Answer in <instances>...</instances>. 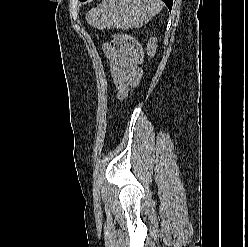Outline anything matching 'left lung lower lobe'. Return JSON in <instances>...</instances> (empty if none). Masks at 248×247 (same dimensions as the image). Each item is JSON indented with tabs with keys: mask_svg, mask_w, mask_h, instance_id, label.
<instances>
[{
	"mask_svg": "<svg viewBox=\"0 0 248 247\" xmlns=\"http://www.w3.org/2000/svg\"><path fill=\"white\" fill-rule=\"evenodd\" d=\"M80 1H86V0H80ZM163 2L168 6L169 10L172 8L173 0H163Z\"/></svg>",
	"mask_w": 248,
	"mask_h": 247,
	"instance_id": "0a47b994",
	"label": "left lung lower lobe"
}]
</instances>
